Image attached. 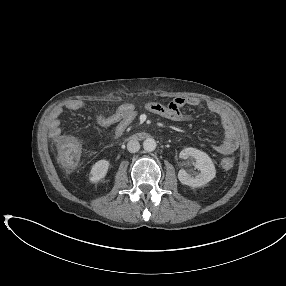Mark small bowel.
Here are the masks:
<instances>
[{
  "mask_svg": "<svg viewBox=\"0 0 286 286\" xmlns=\"http://www.w3.org/2000/svg\"><path fill=\"white\" fill-rule=\"evenodd\" d=\"M200 103V100L195 97H177L168 104L148 102L145 104V109L172 121H187L189 120V117L183 112V109L186 106H199ZM87 107L88 106L84 101L73 100L66 105L65 110L78 112L86 110ZM207 109L209 112L220 118L224 128V140L219 144L213 145V149L221 155L230 156L239 146V137L236 132L233 118L228 110L217 103H208ZM63 113V108H56L51 114L50 135L52 137H57L61 133L60 119ZM136 116L137 111L135 106L130 103H124L109 114L96 113L94 115V121L101 127L115 126L112 137L117 139L131 126Z\"/></svg>",
  "mask_w": 286,
  "mask_h": 286,
  "instance_id": "c3829d8e",
  "label": "small bowel"
}]
</instances>
